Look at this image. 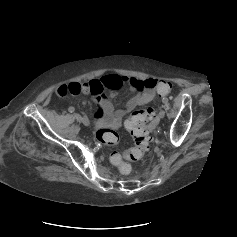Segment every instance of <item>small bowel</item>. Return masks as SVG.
Segmentation results:
<instances>
[{"label": "small bowel", "instance_id": "obj_1", "mask_svg": "<svg viewBox=\"0 0 237 237\" xmlns=\"http://www.w3.org/2000/svg\"><path fill=\"white\" fill-rule=\"evenodd\" d=\"M124 84L130 86L134 95L121 108L115 110L111 101L105 98V94L109 92L111 96H115L117 90ZM156 84L157 80L154 78L140 80L114 74L85 82L62 84L56 88V94L60 97L81 93L92 95L98 103V110L95 113V125L117 129L128 113L138 106L150 103L154 99Z\"/></svg>", "mask_w": 237, "mask_h": 237}]
</instances>
